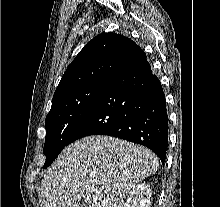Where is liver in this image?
<instances>
[{"instance_id": "obj_1", "label": "liver", "mask_w": 220, "mask_h": 207, "mask_svg": "<svg viewBox=\"0 0 220 207\" xmlns=\"http://www.w3.org/2000/svg\"><path fill=\"white\" fill-rule=\"evenodd\" d=\"M158 168L157 156L144 146L103 135L82 138L45 173L43 207H123L135 184Z\"/></svg>"}]
</instances>
